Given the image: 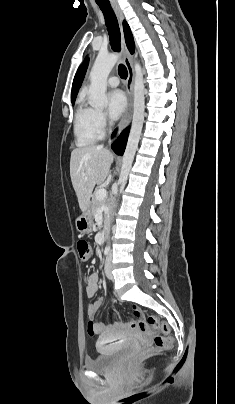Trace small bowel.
I'll return each mask as SVG.
<instances>
[{"label": "small bowel", "instance_id": "c3829d8e", "mask_svg": "<svg viewBox=\"0 0 235 404\" xmlns=\"http://www.w3.org/2000/svg\"><path fill=\"white\" fill-rule=\"evenodd\" d=\"M99 289V277L96 273H92L87 278L86 294L93 297ZM104 303V298H99L96 301L89 303L87 306V314L90 319H93ZM129 328L137 330L135 327H128L122 322L105 325L103 323H89V331L98 336L99 344L121 339L129 332ZM99 347V346H98Z\"/></svg>", "mask_w": 235, "mask_h": 404}]
</instances>
